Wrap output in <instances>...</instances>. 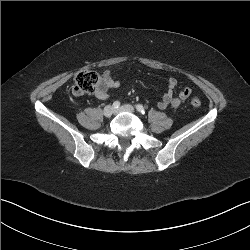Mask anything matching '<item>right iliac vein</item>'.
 I'll list each match as a JSON object with an SVG mask.
<instances>
[{"label": "right iliac vein", "mask_w": 250, "mask_h": 250, "mask_svg": "<svg viewBox=\"0 0 250 250\" xmlns=\"http://www.w3.org/2000/svg\"><path fill=\"white\" fill-rule=\"evenodd\" d=\"M114 113V108L110 105L106 106L103 110V114L106 117H110Z\"/></svg>", "instance_id": "right-iliac-vein-1"}]
</instances>
